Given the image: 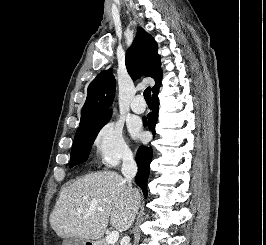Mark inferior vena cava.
Listing matches in <instances>:
<instances>
[{"label": "inferior vena cava", "instance_id": "602c4592", "mask_svg": "<svg viewBox=\"0 0 266 245\" xmlns=\"http://www.w3.org/2000/svg\"><path fill=\"white\" fill-rule=\"evenodd\" d=\"M137 171V165L134 161L132 153H130V155H124L121 173L126 183H128V187H130V189H132V179L136 177Z\"/></svg>", "mask_w": 266, "mask_h": 245}]
</instances>
